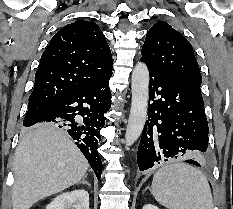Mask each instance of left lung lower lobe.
Segmentation results:
<instances>
[{"label":"left lung lower lobe","mask_w":233,"mask_h":209,"mask_svg":"<svg viewBox=\"0 0 233 209\" xmlns=\"http://www.w3.org/2000/svg\"><path fill=\"white\" fill-rule=\"evenodd\" d=\"M140 60L149 69V101H153L137 153L140 171L183 157L189 150L205 152L209 128L200 88ZM184 162L201 166L194 158Z\"/></svg>","instance_id":"obj_1"}]
</instances>
